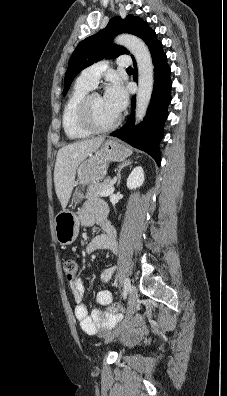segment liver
<instances>
[{
	"label": "liver",
	"mask_w": 227,
	"mask_h": 396,
	"mask_svg": "<svg viewBox=\"0 0 227 396\" xmlns=\"http://www.w3.org/2000/svg\"><path fill=\"white\" fill-rule=\"evenodd\" d=\"M104 140V137H97L74 142L59 149L54 168V184L56 195L63 209L70 199L77 167L95 152Z\"/></svg>",
	"instance_id": "1"
}]
</instances>
